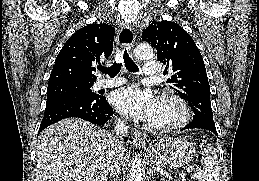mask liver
Returning a JSON list of instances; mask_svg holds the SVG:
<instances>
[{"mask_svg":"<svg viewBox=\"0 0 259 181\" xmlns=\"http://www.w3.org/2000/svg\"><path fill=\"white\" fill-rule=\"evenodd\" d=\"M115 137L77 118H68L43 130L36 146L35 181H106L114 149L120 164L128 153L117 148Z\"/></svg>","mask_w":259,"mask_h":181,"instance_id":"1","label":"liver"}]
</instances>
